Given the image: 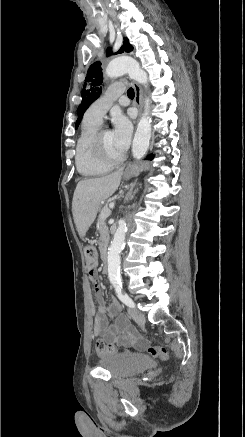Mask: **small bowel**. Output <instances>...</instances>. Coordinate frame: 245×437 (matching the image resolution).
I'll return each mask as SVG.
<instances>
[{"mask_svg":"<svg viewBox=\"0 0 245 437\" xmlns=\"http://www.w3.org/2000/svg\"><path fill=\"white\" fill-rule=\"evenodd\" d=\"M89 280L94 285L95 296L98 302L97 312L93 322V333L118 345L138 349L144 348L147 345V341L140 337L131 326L128 318L122 313L119 302L112 299L109 304H106L98 274L96 272L90 274ZM110 317L115 318L114 324H109L108 319Z\"/></svg>","mask_w":245,"mask_h":437,"instance_id":"obj_1","label":"small bowel"}]
</instances>
